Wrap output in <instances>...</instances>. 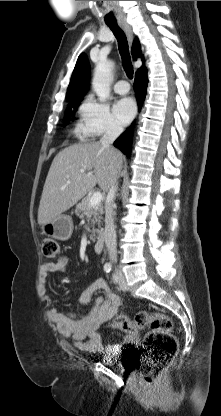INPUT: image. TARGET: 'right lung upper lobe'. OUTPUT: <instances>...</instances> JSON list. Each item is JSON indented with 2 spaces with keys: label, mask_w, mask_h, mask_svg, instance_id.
Returning <instances> with one entry per match:
<instances>
[{
  "label": "right lung upper lobe",
  "mask_w": 221,
  "mask_h": 416,
  "mask_svg": "<svg viewBox=\"0 0 221 416\" xmlns=\"http://www.w3.org/2000/svg\"><path fill=\"white\" fill-rule=\"evenodd\" d=\"M132 55L134 58L141 56V45L139 40L136 38L132 46ZM145 70L142 66L139 71ZM89 82V63L87 57L84 53L80 54L78 57L77 63L75 65L70 84L68 86V91L66 95V100L74 102L81 100L86 91L88 90Z\"/></svg>",
  "instance_id": "obj_1"
}]
</instances>
